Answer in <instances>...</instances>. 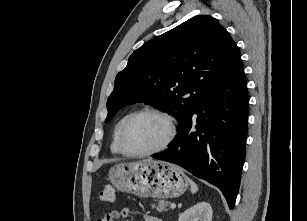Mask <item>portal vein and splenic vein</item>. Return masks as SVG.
I'll return each mask as SVG.
<instances>
[{
    "instance_id": "1",
    "label": "portal vein and splenic vein",
    "mask_w": 307,
    "mask_h": 221,
    "mask_svg": "<svg viewBox=\"0 0 307 221\" xmlns=\"http://www.w3.org/2000/svg\"><path fill=\"white\" fill-rule=\"evenodd\" d=\"M170 208L171 209H175L176 208V204H174V203L170 204Z\"/></svg>"
}]
</instances>
